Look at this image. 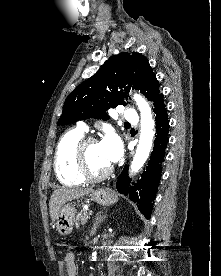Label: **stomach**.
<instances>
[{
    "mask_svg": "<svg viewBox=\"0 0 221 276\" xmlns=\"http://www.w3.org/2000/svg\"><path fill=\"white\" fill-rule=\"evenodd\" d=\"M90 197L91 200L105 206L112 205L118 200L116 194L107 189H97L96 191L91 192ZM75 213L76 209L74 203H67L63 205L55 221L56 229L60 235L66 236L72 232Z\"/></svg>",
    "mask_w": 221,
    "mask_h": 276,
    "instance_id": "stomach-1",
    "label": "stomach"
}]
</instances>
